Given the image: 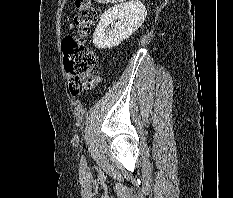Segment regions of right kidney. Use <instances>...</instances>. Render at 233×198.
Returning a JSON list of instances; mask_svg holds the SVG:
<instances>
[{
	"instance_id": "right-kidney-1",
	"label": "right kidney",
	"mask_w": 233,
	"mask_h": 198,
	"mask_svg": "<svg viewBox=\"0 0 233 198\" xmlns=\"http://www.w3.org/2000/svg\"><path fill=\"white\" fill-rule=\"evenodd\" d=\"M146 15V8L139 0L109 8L100 17L93 34V44L98 49H110L119 45L142 25Z\"/></svg>"
}]
</instances>
